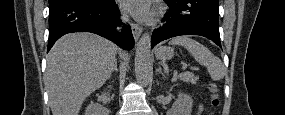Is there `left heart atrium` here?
I'll list each match as a JSON object with an SVG mask.
<instances>
[{
	"mask_svg": "<svg viewBox=\"0 0 285 115\" xmlns=\"http://www.w3.org/2000/svg\"><path fill=\"white\" fill-rule=\"evenodd\" d=\"M148 0H123V8L137 18L149 19L152 11Z\"/></svg>",
	"mask_w": 285,
	"mask_h": 115,
	"instance_id": "39dd6f15",
	"label": "left heart atrium"
}]
</instances>
